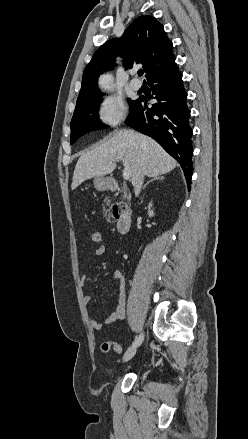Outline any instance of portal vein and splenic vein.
<instances>
[{
    "instance_id": "1",
    "label": "portal vein and splenic vein",
    "mask_w": 248,
    "mask_h": 439,
    "mask_svg": "<svg viewBox=\"0 0 248 439\" xmlns=\"http://www.w3.org/2000/svg\"><path fill=\"white\" fill-rule=\"evenodd\" d=\"M124 163V169H123V178L125 180H128L131 177V168L130 166L125 162V160L120 159ZM110 163H113V161H110Z\"/></svg>"
}]
</instances>
